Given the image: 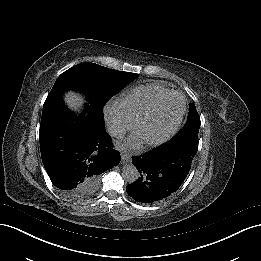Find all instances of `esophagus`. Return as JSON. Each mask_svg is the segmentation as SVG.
Listing matches in <instances>:
<instances>
[{
    "instance_id": "1",
    "label": "esophagus",
    "mask_w": 261,
    "mask_h": 261,
    "mask_svg": "<svg viewBox=\"0 0 261 261\" xmlns=\"http://www.w3.org/2000/svg\"><path fill=\"white\" fill-rule=\"evenodd\" d=\"M121 160L123 164H127L130 162V156L127 153L122 152L121 153Z\"/></svg>"
}]
</instances>
